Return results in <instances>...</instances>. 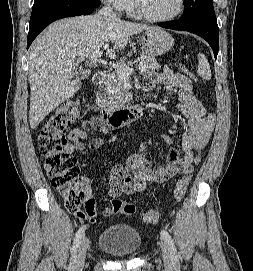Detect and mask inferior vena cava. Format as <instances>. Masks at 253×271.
<instances>
[{
	"mask_svg": "<svg viewBox=\"0 0 253 271\" xmlns=\"http://www.w3.org/2000/svg\"><path fill=\"white\" fill-rule=\"evenodd\" d=\"M99 15L107 17L111 20L117 19L116 14L112 11L111 7L109 5L103 7L100 11H99Z\"/></svg>",
	"mask_w": 253,
	"mask_h": 271,
	"instance_id": "inferior-vena-cava-1",
	"label": "inferior vena cava"
}]
</instances>
